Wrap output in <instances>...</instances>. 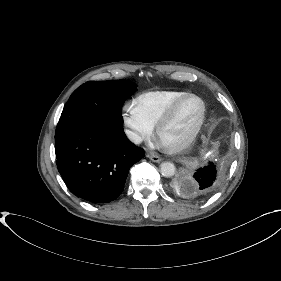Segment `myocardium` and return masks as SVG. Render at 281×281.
I'll use <instances>...</instances> for the list:
<instances>
[{"label":"myocardium","instance_id":"myocardium-1","mask_svg":"<svg viewBox=\"0 0 281 281\" xmlns=\"http://www.w3.org/2000/svg\"><path fill=\"white\" fill-rule=\"evenodd\" d=\"M189 99H196L199 101L201 104V112L199 119L195 125V127L192 129V131L181 141L175 143V144H165L162 139V133L164 129L170 124V122L173 120L175 117L176 113L178 112L179 108ZM206 117V104L205 101L198 95L196 94H186L177 101H175L169 108L168 110L164 113V115L161 117L159 122L156 125L155 128V136L157 139L158 144L160 147L168 152V153H177L185 148H187L190 144L193 143V141L196 139L197 135L199 134L204 120Z\"/></svg>","mask_w":281,"mask_h":281}]
</instances>
